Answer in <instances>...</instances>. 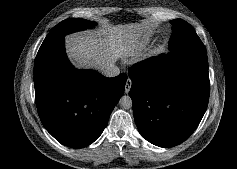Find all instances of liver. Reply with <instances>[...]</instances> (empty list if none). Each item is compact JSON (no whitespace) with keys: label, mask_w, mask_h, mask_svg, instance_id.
<instances>
[{"label":"liver","mask_w":237,"mask_h":169,"mask_svg":"<svg viewBox=\"0 0 237 169\" xmlns=\"http://www.w3.org/2000/svg\"><path fill=\"white\" fill-rule=\"evenodd\" d=\"M144 29V25L135 24L129 28L115 26L75 33L66 37V52L75 67L102 71L106 65L116 62L118 41L122 37L136 36Z\"/></svg>","instance_id":"liver-1"}]
</instances>
